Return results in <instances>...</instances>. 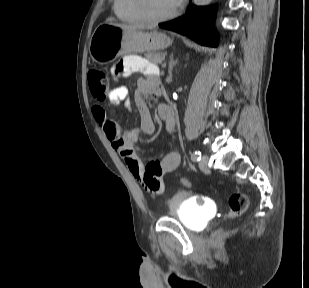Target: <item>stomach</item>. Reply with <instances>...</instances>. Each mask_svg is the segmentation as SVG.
<instances>
[{
  "label": "stomach",
  "mask_w": 309,
  "mask_h": 288,
  "mask_svg": "<svg viewBox=\"0 0 309 288\" xmlns=\"http://www.w3.org/2000/svg\"><path fill=\"white\" fill-rule=\"evenodd\" d=\"M171 44L172 40L161 32H144L104 23L95 29L90 38L89 54L94 62L104 65L123 54L154 52Z\"/></svg>",
  "instance_id": "stomach-1"
}]
</instances>
